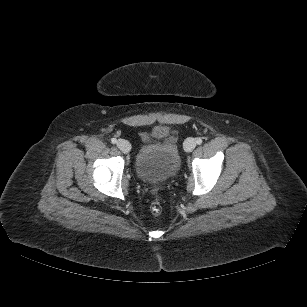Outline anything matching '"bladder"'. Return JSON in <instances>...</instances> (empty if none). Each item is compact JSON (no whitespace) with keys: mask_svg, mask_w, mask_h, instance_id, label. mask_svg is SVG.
Listing matches in <instances>:
<instances>
[{"mask_svg":"<svg viewBox=\"0 0 307 307\" xmlns=\"http://www.w3.org/2000/svg\"><path fill=\"white\" fill-rule=\"evenodd\" d=\"M139 179L149 183H163L172 179L180 168V156L175 141L161 145H143L134 163Z\"/></svg>","mask_w":307,"mask_h":307,"instance_id":"31cf9c89","label":"bladder"}]
</instances>
